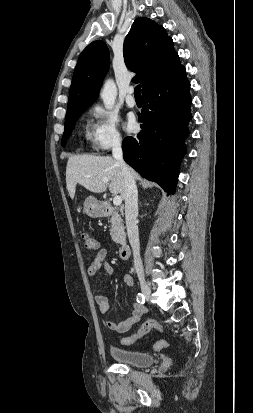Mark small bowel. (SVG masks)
<instances>
[{
  "mask_svg": "<svg viewBox=\"0 0 253 413\" xmlns=\"http://www.w3.org/2000/svg\"><path fill=\"white\" fill-rule=\"evenodd\" d=\"M107 251L105 249H100L95 255L94 259L88 266L87 273L90 276H94L98 273L100 269H104L107 274H113V268L106 261ZM123 281L127 286L133 285V279L130 275L126 274L123 277ZM96 303L102 314H106L111 310V306L108 299L102 294L98 293L96 295ZM145 312V309L139 305H134V310L129 318L121 322L106 321L105 327L108 330L115 331L118 333H124L132 328L138 323L140 317Z\"/></svg>",
  "mask_w": 253,
  "mask_h": 413,
  "instance_id": "c3829d8e",
  "label": "small bowel"
}]
</instances>
